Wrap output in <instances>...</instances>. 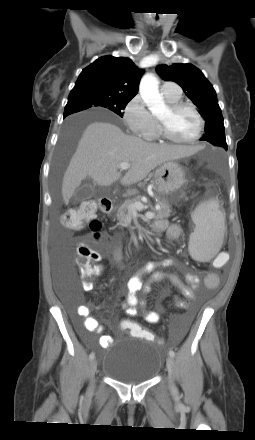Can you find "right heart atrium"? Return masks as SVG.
<instances>
[{
  "label": "right heart atrium",
  "mask_w": 255,
  "mask_h": 440,
  "mask_svg": "<svg viewBox=\"0 0 255 440\" xmlns=\"http://www.w3.org/2000/svg\"><path fill=\"white\" fill-rule=\"evenodd\" d=\"M123 119L128 129L137 136L153 137L158 131L157 121L139 95H135L127 103Z\"/></svg>",
  "instance_id": "d8ad5b80"
}]
</instances>
